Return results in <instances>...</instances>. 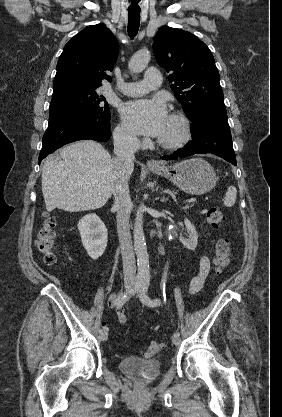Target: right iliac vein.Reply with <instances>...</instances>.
I'll use <instances>...</instances> for the list:
<instances>
[{
	"mask_svg": "<svg viewBox=\"0 0 282 417\" xmlns=\"http://www.w3.org/2000/svg\"><path fill=\"white\" fill-rule=\"evenodd\" d=\"M132 288V285L130 284V283H127L126 285H125V289L128 291V290H130ZM99 338H100V340L101 341H104V340H107V338H108V334H107V332L106 331H104V332H101L100 333V335H99Z\"/></svg>",
	"mask_w": 282,
	"mask_h": 417,
	"instance_id": "63e3f726",
	"label": "right iliac vein"
}]
</instances>
